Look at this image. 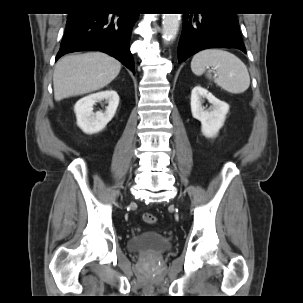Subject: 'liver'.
Masks as SVG:
<instances>
[{
    "label": "liver",
    "mask_w": 303,
    "mask_h": 303,
    "mask_svg": "<svg viewBox=\"0 0 303 303\" xmlns=\"http://www.w3.org/2000/svg\"><path fill=\"white\" fill-rule=\"evenodd\" d=\"M120 70L121 63L105 53L67 55L55 65L54 98L60 101L102 89L117 77Z\"/></svg>",
    "instance_id": "1"
}]
</instances>
